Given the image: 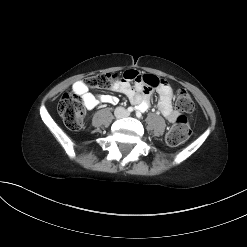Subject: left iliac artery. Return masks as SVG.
Segmentation results:
<instances>
[{
	"mask_svg": "<svg viewBox=\"0 0 247 247\" xmlns=\"http://www.w3.org/2000/svg\"><path fill=\"white\" fill-rule=\"evenodd\" d=\"M136 116H137L138 118H140V117H141V112H140V111H137V112H136Z\"/></svg>",
	"mask_w": 247,
	"mask_h": 247,
	"instance_id": "44dca946",
	"label": "left iliac artery"
}]
</instances>
